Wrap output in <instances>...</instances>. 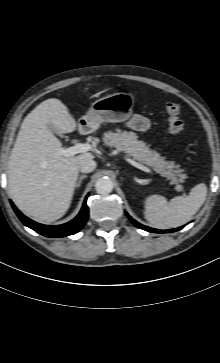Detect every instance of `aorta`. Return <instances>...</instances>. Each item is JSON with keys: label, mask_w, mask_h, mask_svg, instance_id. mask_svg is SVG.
Segmentation results:
<instances>
[{"label": "aorta", "mask_w": 220, "mask_h": 363, "mask_svg": "<svg viewBox=\"0 0 220 363\" xmlns=\"http://www.w3.org/2000/svg\"><path fill=\"white\" fill-rule=\"evenodd\" d=\"M95 189L98 194L106 195L112 192L113 182L108 177H101L95 183Z\"/></svg>", "instance_id": "obj_1"}]
</instances>
